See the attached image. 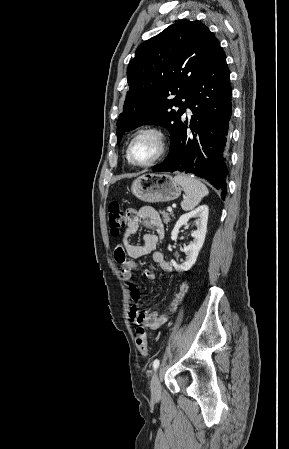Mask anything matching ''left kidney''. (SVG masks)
Wrapping results in <instances>:
<instances>
[{"label": "left kidney", "mask_w": 289, "mask_h": 449, "mask_svg": "<svg viewBox=\"0 0 289 449\" xmlns=\"http://www.w3.org/2000/svg\"><path fill=\"white\" fill-rule=\"evenodd\" d=\"M208 214H209L208 206L201 205L195 210L183 214L175 224V227L171 233V239L173 241L177 240L180 227L186 225L191 218H197L196 220L197 229L191 233V236L194 238V240L191 244L185 246L183 250L186 254V261L182 264H177L174 260H171V264L173 265L176 271L178 272L188 271L195 264L199 251L201 250L204 244L207 232Z\"/></svg>", "instance_id": "left-kidney-1"}]
</instances>
